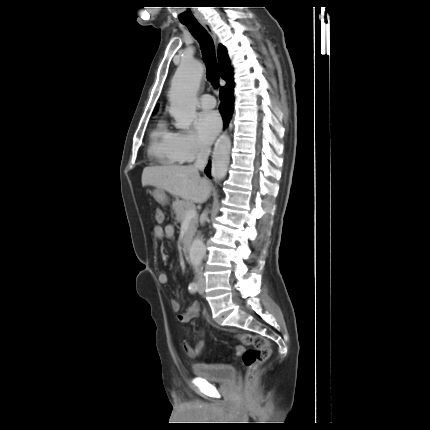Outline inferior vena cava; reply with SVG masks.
Returning <instances> with one entry per match:
<instances>
[{
	"mask_svg": "<svg viewBox=\"0 0 430 430\" xmlns=\"http://www.w3.org/2000/svg\"><path fill=\"white\" fill-rule=\"evenodd\" d=\"M210 148L209 147H202L199 150V153L197 154V158L195 163L193 164L192 168L196 171L200 170L203 171L207 165L208 157L210 155ZM204 219L206 218V212L203 213ZM199 279L201 281L204 280L202 274H200Z\"/></svg>",
	"mask_w": 430,
	"mask_h": 430,
	"instance_id": "obj_1",
	"label": "inferior vena cava"
}]
</instances>
